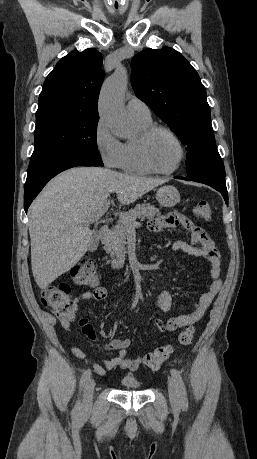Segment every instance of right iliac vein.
I'll use <instances>...</instances> for the list:
<instances>
[{
  "label": "right iliac vein",
  "instance_id": "1",
  "mask_svg": "<svg viewBox=\"0 0 257 459\" xmlns=\"http://www.w3.org/2000/svg\"><path fill=\"white\" fill-rule=\"evenodd\" d=\"M94 388L95 380L91 378L87 381L84 388L83 407L85 409L89 408L92 403Z\"/></svg>",
  "mask_w": 257,
  "mask_h": 459
}]
</instances>
